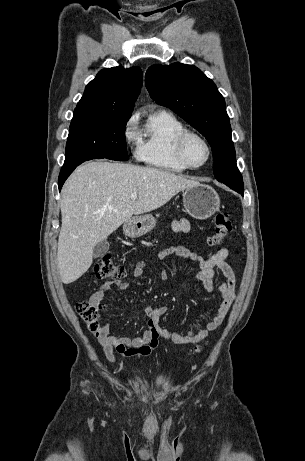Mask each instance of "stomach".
Here are the masks:
<instances>
[{
  "mask_svg": "<svg viewBox=\"0 0 305 461\" xmlns=\"http://www.w3.org/2000/svg\"><path fill=\"white\" fill-rule=\"evenodd\" d=\"M185 211L196 219H207L220 207V198L217 192L208 185L198 184L184 189L182 192ZM156 224L152 215L137 216L126 221L123 232L126 236L135 238L150 232Z\"/></svg>",
  "mask_w": 305,
  "mask_h": 461,
  "instance_id": "1",
  "label": "stomach"
}]
</instances>
